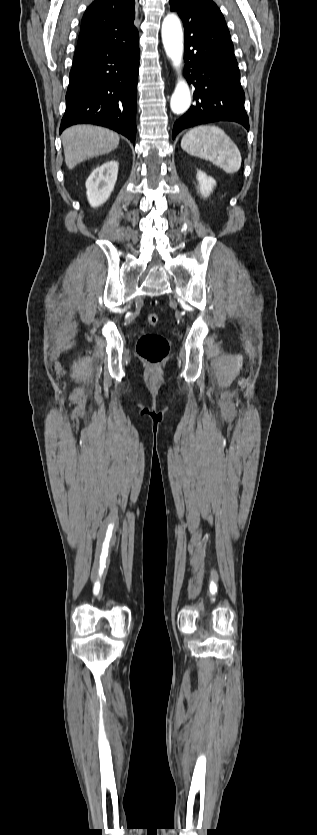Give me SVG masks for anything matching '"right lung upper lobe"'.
I'll list each match as a JSON object with an SVG mask.
<instances>
[{"instance_id":"cb5924a9","label":"right lung upper lobe","mask_w":317,"mask_h":835,"mask_svg":"<svg viewBox=\"0 0 317 835\" xmlns=\"http://www.w3.org/2000/svg\"><path fill=\"white\" fill-rule=\"evenodd\" d=\"M135 0H96L85 11L77 48L116 47L138 37Z\"/></svg>"}]
</instances>
